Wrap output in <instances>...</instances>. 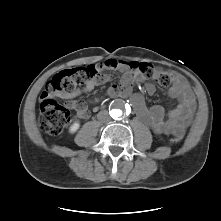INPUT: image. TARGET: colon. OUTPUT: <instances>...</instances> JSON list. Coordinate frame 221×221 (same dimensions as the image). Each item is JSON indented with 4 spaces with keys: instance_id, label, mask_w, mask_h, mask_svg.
<instances>
[{
    "instance_id": "1",
    "label": "colon",
    "mask_w": 221,
    "mask_h": 221,
    "mask_svg": "<svg viewBox=\"0 0 221 221\" xmlns=\"http://www.w3.org/2000/svg\"><path fill=\"white\" fill-rule=\"evenodd\" d=\"M130 71L133 74L153 80L163 87L171 85L176 80V75L169 71L159 70L154 65L145 62H131ZM97 77L95 66L75 67L61 70L55 73L47 82L45 90L40 95L39 125L40 128L49 134H58L69 123L71 118L70 109L59 104L55 96L70 92L76 86L92 81ZM113 95L119 93L118 89H113ZM182 136L179 132H174L172 142L177 143Z\"/></svg>"
}]
</instances>
